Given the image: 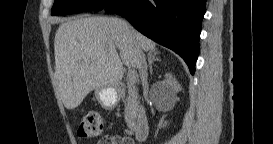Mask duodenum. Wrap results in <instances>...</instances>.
I'll return each mask as SVG.
<instances>
[{
	"label": "duodenum",
	"mask_w": 273,
	"mask_h": 144,
	"mask_svg": "<svg viewBox=\"0 0 273 144\" xmlns=\"http://www.w3.org/2000/svg\"><path fill=\"white\" fill-rule=\"evenodd\" d=\"M135 138L138 141H144L149 135V121L148 118L141 114L138 116L133 127Z\"/></svg>",
	"instance_id": "duodenum-1"
}]
</instances>
